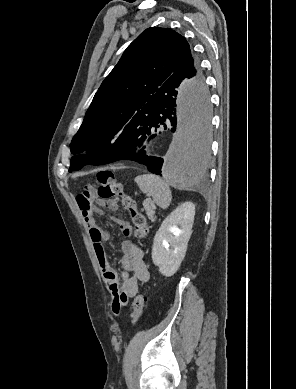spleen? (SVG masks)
I'll return each mask as SVG.
<instances>
[{
	"mask_svg": "<svg viewBox=\"0 0 296 389\" xmlns=\"http://www.w3.org/2000/svg\"><path fill=\"white\" fill-rule=\"evenodd\" d=\"M134 181L143 193L152 196L160 208H168L172 194L168 184L162 179L152 174H144L137 176Z\"/></svg>",
	"mask_w": 296,
	"mask_h": 389,
	"instance_id": "obj_1",
	"label": "spleen"
}]
</instances>
